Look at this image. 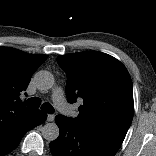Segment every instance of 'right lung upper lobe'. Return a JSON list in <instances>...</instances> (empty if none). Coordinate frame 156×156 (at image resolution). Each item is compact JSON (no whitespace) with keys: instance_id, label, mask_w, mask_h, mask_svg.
Returning a JSON list of instances; mask_svg holds the SVG:
<instances>
[{"instance_id":"right-lung-upper-lobe-1","label":"right lung upper lobe","mask_w":156,"mask_h":156,"mask_svg":"<svg viewBox=\"0 0 156 156\" xmlns=\"http://www.w3.org/2000/svg\"><path fill=\"white\" fill-rule=\"evenodd\" d=\"M20 50L0 47V126L10 119H21L34 109L19 105V94L25 91L32 74L47 59Z\"/></svg>"}]
</instances>
